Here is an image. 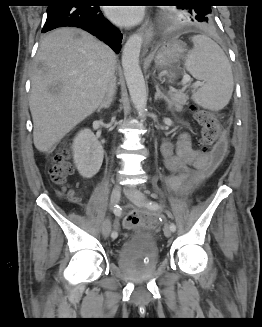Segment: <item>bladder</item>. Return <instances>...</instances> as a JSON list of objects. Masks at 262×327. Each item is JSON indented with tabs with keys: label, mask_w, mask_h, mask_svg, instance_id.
Returning a JSON list of instances; mask_svg holds the SVG:
<instances>
[{
	"label": "bladder",
	"mask_w": 262,
	"mask_h": 327,
	"mask_svg": "<svg viewBox=\"0 0 262 327\" xmlns=\"http://www.w3.org/2000/svg\"><path fill=\"white\" fill-rule=\"evenodd\" d=\"M144 253L153 262L159 260V248L153 234L139 232L132 234L120 247L118 252L119 259L130 258L136 253Z\"/></svg>",
	"instance_id": "1"
}]
</instances>
